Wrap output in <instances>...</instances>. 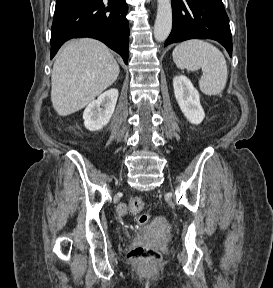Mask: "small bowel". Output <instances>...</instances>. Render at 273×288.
Returning a JSON list of instances; mask_svg holds the SVG:
<instances>
[{
	"label": "small bowel",
	"mask_w": 273,
	"mask_h": 288,
	"mask_svg": "<svg viewBox=\"0 0 273 288\" xmlns=\"http://www.w3.org/2000/svg\"><path fill=\"white\" fill-rule=\"evenodd\" d=\"M128 211V207L126 204H120L118 207H117V213L119 215H124L126 214Z\"/></svg>",
	"instance_id": "c3829d8e"
}]
</instances>
